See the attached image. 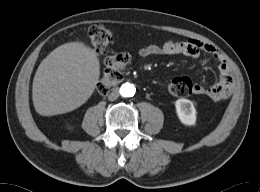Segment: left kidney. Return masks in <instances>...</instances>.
<instances>
[{"instance_id": "obj_1", "label": "left kidney", "mask_w": 260, "mask_h": 192, "mask_svg": "<svg viewBox=\"0 0 260 192\" xmlns=\"http://www.w3.org/2000/svg\"><path fill=\"white\" fill-rule=\"evenodd\" d=\"M176 113L179 120L188 126L196 123V109L193 103L188 99H178L175 102Z\"/></svg>"}]
</instances>
